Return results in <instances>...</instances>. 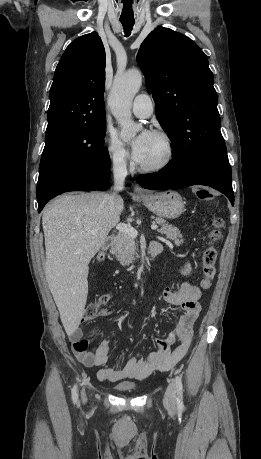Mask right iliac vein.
Returning a JSON list of instances; mask_svg holds the SVG:
<instances>
[{
	"label": "right iliac vein",
	"instance_id": "1",
	"mask_svg": "<svg viewBox=\"0 0 261 459\" xmlns=\"http://www.w3.org/2000/svg\"><path fill=\"white\" fill-rule=\"evenodd\" d=\"M82 398H83L84 401L86 400V397H85V393H84V392H82Z\"/></svg>",
	"mask_w": 261,
	"mask_h": 459
}]
</instances>
